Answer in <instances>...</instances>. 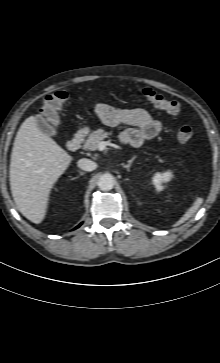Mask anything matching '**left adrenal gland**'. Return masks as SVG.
I'll use <instances>...</instances> for the list:
<instances>
[{
    "instance_id": "1",
    "label": "left adrenal gland",
    "mask_w": 220,
    "mask_h": 363,
    "mask_svg": "<svg viewBox=\"0 0 220 363\" xmlns=\"http://www.w3.org/2000/svg\"><path fill=\"white\" fill-rule=\"evenodd\" d=\"M136 159V156L132 157L129 161H128V164H123V167L126 168L127 170L130 169L133 161Z\"/></svg>"
}]
</instances>
